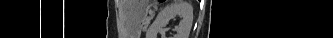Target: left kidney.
Instances as JSON below:
<instances>
[{
    "label": "left kidney",
    "mask_w": 333,
    "mask_h": 38,
    "mask_svg": "<svg viewBox=\"0 0 333 38\" xmlns=\"http://www.w3.org/2000/svg\"><path fill=\"white\" fill-rule=\"evenodd\" d=\"M173 16L181 17L178 26L174 28L176 34L173 35V38H188L193 23V9L190 4L183 0L169 3L161 9L150 26L149 33H152L154 36L161 33Z\"/></svg>",
    "instance_id": "1"
}]
</instances>
